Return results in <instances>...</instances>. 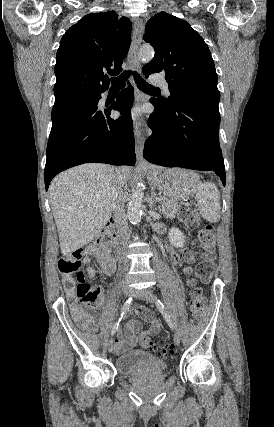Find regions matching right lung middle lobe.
Segmentation results:
<instances>
[{
	"label": "right lung middle lobe",
	"mask_w": 274,
	"mask_h": 427,
	"mask_svg": "<svg viewBox=\"0 0 274 427\" xmlns=\"http://www.w3.org/2000/svg\"><path fill=\"white\" fill-rule=\"evenodd\" d=\"M95 96H96V94L95 95L76 96V97H73V98L65 101L64 103H62L60 105L53 106V110H56V109H59L62 107H66V106H70V105L75 104V103L80 102V101L92 100Z\"/></svg>",
	"instance_id": "dd1d6c3e"
}]
</instances>
